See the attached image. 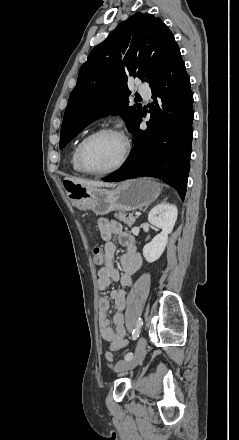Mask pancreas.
Wrapping results in <instances>:
<instances>
[{
	"label": "pancreas",
	"mask_w": 239,
	"mask_h": 440,
	"mask_svg": "<svg viewBox=\"0 0 239 440\" xmlns=\"http://www.w3.org/2000/svg\"><path fill=\"white\" fill-rule=\"evenodd\" d=\"M114 218L116 220H119V222H124L126 226H133L135 220H137L138 216H133V214H129V216H126V214H123V212H117V214H114Z\"/></svg>",
	"instance_id": "cf45deb5"
}]
</instances>
